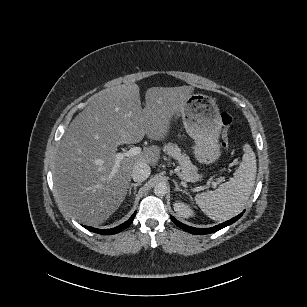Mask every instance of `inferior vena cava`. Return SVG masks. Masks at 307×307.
<instances>
[{
	"mask_svg": "<svg viewBox=\"0 0 307 307\" xmlns=\"http://www.w3.org/2000/svg\"><path fill=\"white\" fill-rule=\"evenodd\" d=\"M150 167L145 162H138L132 171V178L135 182H143L146 180L150 175Z\"/></svg>",
	"mask_w": 307,
	"mask_h": 307,
	"instance_id": "602c4592",
	"label": "inferior vena cava"
}]
</instances>
